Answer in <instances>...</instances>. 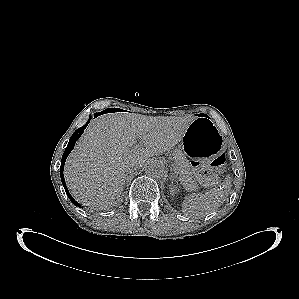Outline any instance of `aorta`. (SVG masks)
<instances>
[{"label":"aorta","instance_id":"aorta-1","mask_svg":"<svg viewBox=\"0 0 299 299\" xmlns=\"http://www.w3.org/2000/svg\"><path fill=\"white\" fill-rule=\"evenodd\" d=\"M146 173L153 178H162L166 173V167L163 162L153 160L147 164Z\"/></svg>","mask_w":299,"mask_h":299}]
</instances>
